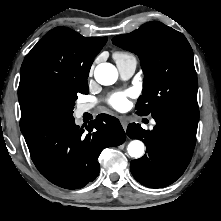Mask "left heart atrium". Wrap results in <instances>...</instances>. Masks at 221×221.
Returning a JSON list of instances; mask_svg holds the SVG:
<instances>
[{
    "label": "left heart atrium",
    "mask_w": 221,
    "mask_h": 221,
    "mask_svg": "<svg viewBox=\"0 0 221 221\" xmlns=\"http://www.w3.org/2000/svg\"><path fill=\"white\" fill-rule=\"evenodd\" d=\"M131 96H133L131 90L117 92L111 96L109 104L117 110H123L128 106V98Z\"/></svg>",
    "instance_id": "obj_1"
}]
</instances>
